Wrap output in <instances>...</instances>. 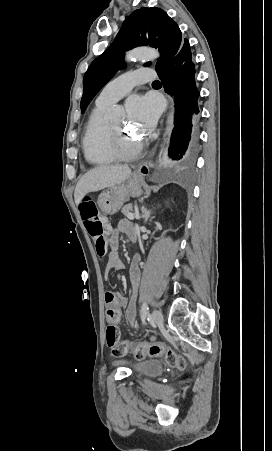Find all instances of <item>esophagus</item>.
<instances>
[{"instance_id":"1","label":"esophagus","mask_w":272,"mask_h":451,"mask_svg":"<svg viewBox=\"0 0 272 451\" xmlns=\"http://www.w3.org/2000/svg\"><path fill=\"white\" fill-rule=\"evenodd\" d=\"M138 175L141 177L146 176L149 173L148 162L144 161L140 163L136 169Z\"/></svg>"}]
</instances>
